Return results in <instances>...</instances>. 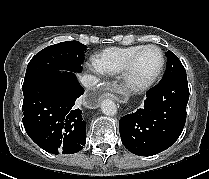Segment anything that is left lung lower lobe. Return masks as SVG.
Segmentation results:
<instances>
[{"label":"left lung lower lobe","instance_id":"1","mask_svg":"<svg viewBox=\"0 0 209 179\" xmlns=\"http://www.w3.org/2000/svg\"><path fill=\"white\" fill-rule=\"evenodd\" d=\"M144 107L119 121L123 145L133 154L152 156L169 148L186 121L189 88L186 76L159 82L147 94Z\"/></svg>","mask_w":209,"mask_h":179}]
</instances>
